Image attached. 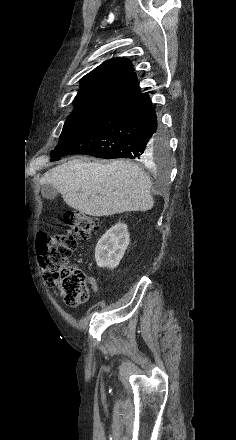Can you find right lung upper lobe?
Masks as SVG:
<instances>
[{
    "instance_id": "cb5924a9",
    "label": "right lung upper lobe",
    "mask_w": 236,
    "mask_h": 440,
    "mask_svg": "<svg viewBox=\"0 0 236 440\" xmlns=\"http://www.w3.org/2000/svg\"><path fill=\"white\" fill-rule=\"evenodd\" d=\"M141 93L131 61L112 58L82 78L74 103H93L115 108Z\"/></svg>"
}]
</instances>
